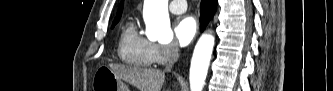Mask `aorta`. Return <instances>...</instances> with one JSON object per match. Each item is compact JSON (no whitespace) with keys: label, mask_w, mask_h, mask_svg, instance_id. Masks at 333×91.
I'll list each match as a JSON object with an SVG mask.
<instances>
[{"label":"aorta","mask_w":333,"mask_h":91,"mask_svg":"<svg viewBox=\"0 0 333 91\" xmlns=\"http://www.w3.org/2000/svg\"><path fill=\"white\" fill-rule=\"evenodd\" d=\"M146 35L152 41L168 42L173 38L168 14V0H145L143 10ZM212 34H203L198 40L190 66V89L202 91L214 47Z\"/></svg>","instance_id":"762f6f07"}]
</instances>
